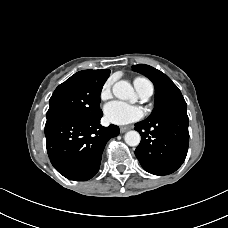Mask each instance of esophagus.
Instances as JSON below:
<instances>
[{
  "label": "esophagus",
  "mask_w": 228,
  "mask_h": 228,
  "mask_svg": "<svg viewBox=\"0 0 228 228\" xmlns=\"http://www.w3.org/2000/svg\"><path fill=\"white\" fill-rule=\"evenodd\" d=\"M128 130H129V127H120V132L121 133H125Z\"/></svg>",
  "instance_id": "34e87169"
}]
</instances>
